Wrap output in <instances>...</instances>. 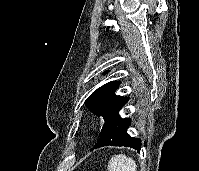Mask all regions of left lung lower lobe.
I'll return each mask as SVG.
<instances>
[{"label":"left lung lower lobe","instance_id":"obj_1","mask_svg":"<svg viewBox=\"0 0 199 171\" xmlns=\"http://www.w3.org/2000/svg\"><path fill=\"white\" fill-rule=\"evenodd\" d=\"M127 101L128 99L107 120H105L100 132V139L94 145L93 149L113 145L131 147L138 152L140 151V139L133 138L127 133V130L131 125V120L129 118H122L119 115V111Z\"/></svg>","mask_w":199,"mask_h":171}]
</instances>
